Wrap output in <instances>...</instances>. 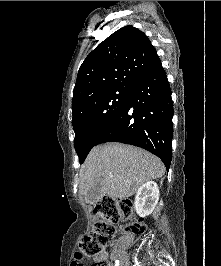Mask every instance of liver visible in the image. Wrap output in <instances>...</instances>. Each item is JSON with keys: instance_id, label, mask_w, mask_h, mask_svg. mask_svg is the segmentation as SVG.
Returning a JSON list of instances; mask_svg holds the SVG:
<instances>
[{"instance_id": "obj_1", "label": "liver", "mask_w": 221, "mask_h": 266, "mask_svg": "<svg viewBox=\"0 0 221 266\" xmlns=\"http://www.w3.org/2000/svg\"><path fill=\"white\" fill-rule=\"evenodd\" d=\"M165 166L155 155L121 143H107L94 147L80 171V193L101 185L110 198L132 196L143 183L158 179Z\"/></svg>"}]
</instances>
